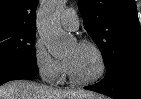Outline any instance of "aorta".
<instances>
[{
    "label": "aorta",
    "mask_w": 141,
    "mask_h": 99,
    "mask_svg": "<svg viewBox=\"0 0 141 99\" xmlns=\"http://www.w3.org/2000/svg\"><path fill=\"white\" fill-rule=\"evenodd\" d=\"M64 0H45L37 19V29L51 55L64 54L73 43L71 36L63 33L59 17Z\"/></svg>",
    "instance_id": "762f6f07"
}]
</instances>
